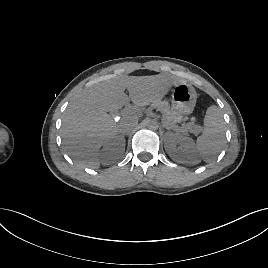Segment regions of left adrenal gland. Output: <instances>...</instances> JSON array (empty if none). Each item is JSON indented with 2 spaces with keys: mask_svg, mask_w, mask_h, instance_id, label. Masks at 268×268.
Returning a JSON list of instances; mask_svg holds the SVG:
<instances>
[{
  "mask_svg": "<svg viewBox=\"0 0 268 268\" xmlns=\"http://www.w3.org/2000/svg\"><path fill=\"white\" fill-rule=\"evenodd\" d=\"M163 126L169 131L170 128L166 125V124H163Z\"/></svg>",
  "mask_w": 268,
  "mask_h": 268,
  "instance_id": "a2214340",
  "label": "left adrenal gland"
}]
</instances>
